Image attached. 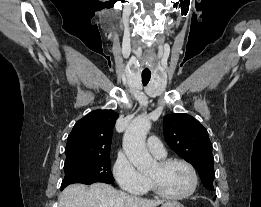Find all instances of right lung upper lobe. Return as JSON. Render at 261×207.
I'll return each mask as SVG.
<instances>
[{
	"mask_svg": "<svg viewBox=\"0 0 261 207\" xmlns=\"http://www.w3.org/2000/svg\"><path fill=\"white\" fill-rule=\"evenodd\" d=\"M118 114L95 110L77 121L68 136L66 161L110 156L112 131Z\"/></svg>",
	"mask_w": 261,
	"mask_h": 207,
	"instance_id": "right-lung-upper-lobe-1",
	"label": "right lung upper lobe"
}]
</instances>
